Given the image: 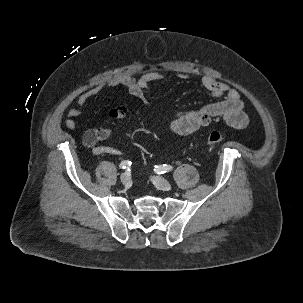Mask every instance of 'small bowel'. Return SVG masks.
<instances>
[{"mask_svg":"<svg viewBox=\"0 0 303 303\" xmlns=\"http://www.w3.org/2000/svg\"><path fill=\"white\" fill-rule=\"evenodd\" d=\"M178 77L182 80L189 78L185 74H180ZM167 81L168 78L165 75L157 72H147L138 78L121 74L110 79L109 86L126 89L143 105L148 106L146 92L150 86ZM201 83L215 101L199 108L179 112L170 125L175 134L180 136L192 134L215 120H223L235 129H244L248 126L249 119L244 112V103L236 89L209 76L203 77ZM101 90L100 86H94L79 95L76 105L67 111V119L64 124L68 129L76 128L75 118L81 115L88 100L98 95ZM111 134V126L89 129L83 135V144L95 155H119L121 154L119 149L99 145V142L108 139Z\"/></svg>","mask_w":303,"mask_h":303,"instance_id":"obj_1","label":"small bowel"}]
</instances>
